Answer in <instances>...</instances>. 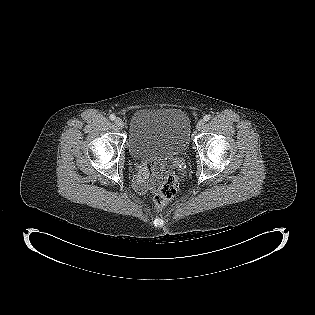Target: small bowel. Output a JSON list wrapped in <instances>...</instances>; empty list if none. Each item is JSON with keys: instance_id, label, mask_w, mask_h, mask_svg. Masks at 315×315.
Returning <instances> with one entry per match:
<instances>
[{"instance_id": "obj_1", "label": "small bowel", "mask_w": 315, "mask_h": 315, "mask_svg": "<svg viewBox=\"0 0 315 315\" xmlns=\"http://www.w3.org/2000/svg\"><path fill=\"white\" fill-rule=\"evenodd\" d=\"M149 171L145 166L139 168V173L135 178V187L138 192L145 193L148 190L156 191L162 183L163 180V170L159 165H155L153 168V175L149 181Z\"/></svg>"}]
</instances>
